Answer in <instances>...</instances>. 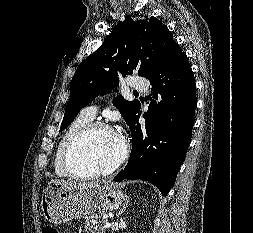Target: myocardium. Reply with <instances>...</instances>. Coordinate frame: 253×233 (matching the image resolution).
<instances>
[{
	"mask_svg": "<svg viewBox=\"0 0 253 233\" xmlns=\"http://www.w3.org/2000/svg\"><path fill=\"white\" fill-rule=\"evenodd\" d=\"M106 129L113 130V128L110 125L104 122H100V121L91 122L87 126H85L82 130H80L71 139V141L69 142L65 150L64 157H63V165L71 177L76 178V179H88V178H95V177H101V176H108L114 173L115 171H117L124 164V162L126 161L128 157L129 145H128L127 140L123 136L120 135L121 142H122L121 153L118 159L110 167L104 170H93V171L85 172V173L79 172L74 168L72 157L76 148L79 146V144L91 134L99 130H106Z\"/></svg>",
	"mask_w": 253,
	"mask_h": 233,
	"instance_id": "myocardium-1",
	"label": "myocardium"
}]
</instances>
